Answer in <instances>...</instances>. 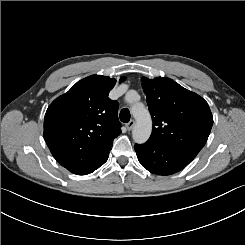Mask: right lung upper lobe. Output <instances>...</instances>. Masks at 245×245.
I'll use <instances>...</instances> for the list:
<instances>
[{
    "instance_id": "obj_1",
    "label": "right lung upper lobe",
    "mask_w": 245,
    "mask_h": 245,
    "mask_svg": "<svg viewBox=\"0 0 245 245\" xmlns=\"http://www.w3.org/2000/svg\"><path fill=\"white\" fill-rule=\"evenodd\" d=\"M122 77L119 82H123ZM116 80L91 75L48 107L44 138L54 158L71 173L86 175L103 165L120 135L118 102L108 95Z\"/></svg>"
}]
</instances>
